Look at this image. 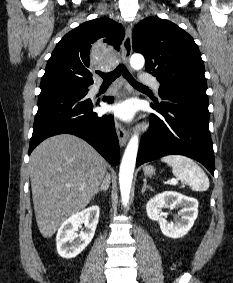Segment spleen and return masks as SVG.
Wrapping results in <instances>:
<instances>
[{"mask_svg": "<svg viewBox=\"0 0 233 283\" xmlns=\"http://www.w3.org/2000/svg\"><path fill=\"white\" fill-rule=\"evenodd\" d=\"M162 162L172 167L173 175L184 183H188L193 191H206L209 179L205 172L193 160L181 155H168Z\"/></svg>", "mask_w": 233, "mask_h": 283, "instance_id": "3e777b00", "label": "spleen"}]
</instances>
